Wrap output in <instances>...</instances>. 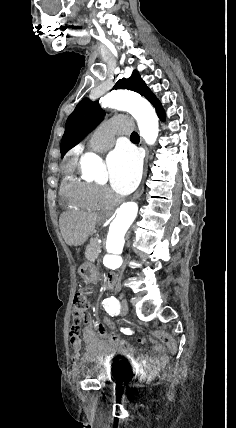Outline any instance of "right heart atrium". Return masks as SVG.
<instances>
[{"label":"right heart atrium","mask_w":236,"mask_h":428,"mask_svg":"<svg viewBox=\"0 0 236 428\" xmlns=\"http://www.w3.org/2000/svg\"><path fill=\"white\" fill-rule=\"evenodd\" d=\"M99 196L104 200L105 198H109L112 194L105 187H98Z\"/></svg>","instance_id":"obj_1"}]
</instances>
